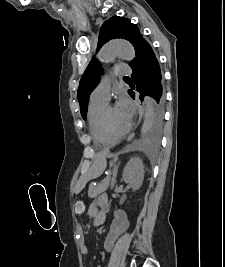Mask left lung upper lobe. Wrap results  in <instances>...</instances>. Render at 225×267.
<instances>
[{
	"label": "left lung upper lobe",
	"mask_w": 225,
	"mask_h": 267,
	"mask_svg": "<svg viewBox=\"0 0 225 267\" xmlns=\"http://www.w3.org/2000/svg\"><path fill=\"white\" fill-rule=\"evenodd\" d=\"M117 38L126 39L132 43L137 54L139 43L143 37L140 35L138 27L131 23L129 19L114 16L105 21L100 28L97 51H99L100 48L109 40ZM132 62H130L129 65H131ZM100 71V65L94 57L90 61L79 82L77 98L80 104V112L83 119L86 117L90 94L99 82ZM163 112L164 108L162 109L157 105H153L151 127L153 133L156 135L160 132L162 126Z\"/></svg>",
	"instance_id": "obj_1"
}]
</instances>
